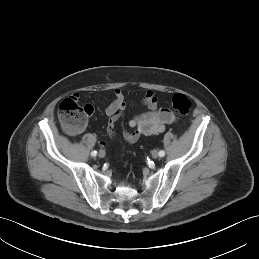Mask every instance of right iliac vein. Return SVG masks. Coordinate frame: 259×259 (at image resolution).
<instances>
[{
  "mask_svg": "<svg viewBox=\"0 0 259 259\" xmlns=\"http://www.w3.org/2000/svg\"><path fill=\"white\" fill-rule=\"evenodd\" d=\"M105 155H106V153H105V151H103V150H100V151L98 152V156H99L100 158H104Z\"/></svg>",
  "mask_w": 259,
  "mask_h": 259,
  "instance_id": "right-iliac-vein-1",
  "label": "right iliac vein"
}]
</instances>
